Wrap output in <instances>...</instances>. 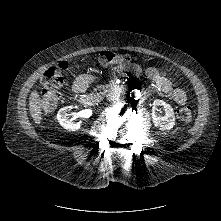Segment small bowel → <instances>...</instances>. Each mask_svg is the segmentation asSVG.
I'll use <instances>...</instances> for the list:
<instances>
[{
    "label": "small bowel",
    "mask_w": 221,
    "mask_h": 221,
    "mask_svg": "<svg viewBox=\"0 0 221 221\" xmlns=\"http://www.w3.org/2000/svg\"><path fill=\"white\" fill-rule=\"evenodd\" d=\"M135 72L139 71L138 67H134ZM146 75L151 79V86L161 92L168 94L172 99L178 101L184 97V93L172 84L168 79L159 75L157 72L150 70L145 71ZM90 82V78L87 76L80 77L74 84L75 92H84L87 85Z\"/></svg>",
    "instance_id": "1"
}]
</instances>
